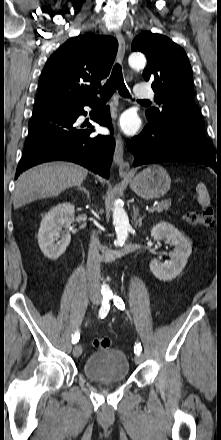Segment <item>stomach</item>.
<instances>
[{"instance_id":"0dacf381","label":"stomach","mask_w":221,"mask_h":440,"mask_svg":"<svg viewBox=\"0 0 221 440\" xmlns=\"http://www.w3.org/2000/svg\"><path fill=\"white\" fill-rule=\"evenodd\" d=\"M130 188L141 198L157 199L165 195L171 186V178L160 165H150L129 178Z\"/></svg>"}]
</instances>
